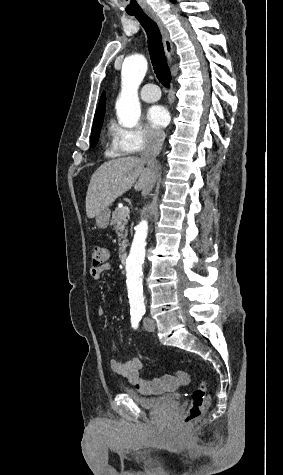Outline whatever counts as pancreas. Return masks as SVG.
I'll return each instance as SVG.
<instances>
[{"label":"pancreas","instance_id":"1","mask_svg":"<svg viewBox=\"0 0 283 475\" xmlns=\"http://www.w3.org/2000/svg\"><path fill=\"white\" fill-rule=\"evenodd\" d=\"M126 208V206H125ZM125 208H116L112 214L111 224H114V230L118 234L119 241V253H123L128 245V232L125 230L127 226V220L129 214H126Z\"/></svg>","mask_w":283,"mask_h":475}]
</instances>
